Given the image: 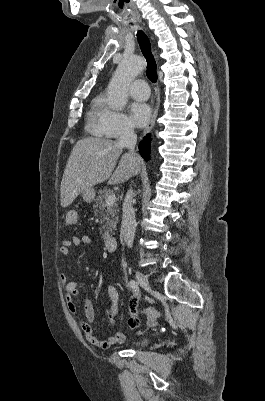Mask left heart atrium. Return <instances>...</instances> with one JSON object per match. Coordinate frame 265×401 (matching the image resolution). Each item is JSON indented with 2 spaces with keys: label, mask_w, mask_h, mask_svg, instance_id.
Returning a JSON list of instances; mask_svg holds the SVG:
<instances>
[{
  "label": "left heart atrium",
  "mask_w": 265,
  "mask_h": 401,
  "mask_svg": "<svg viewBox=\"0 0 265 401\" xmlns=\"http://www.w3.org/2000/svg\"><path fill=\"white\" fill-rule=\"evenodd\" d=\"M128 109L132 121L138 127H142L149 122L151 109L148 104L142 101H133L129 104Z\"/></svg>",
  "instance_id": "left-heart-atrium-1"
}]
</instances>
